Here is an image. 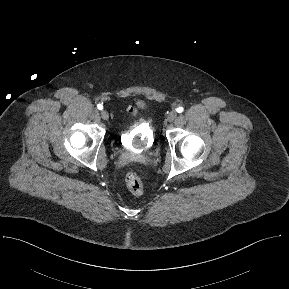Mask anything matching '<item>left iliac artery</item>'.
Here are the masks:
<instances>
[{"label":"left iliac artery","mask_w":289,"mask_h":289,"mask_svg":"<svg viewBox=\"0 0 289 289\" xmlns=\"http://www.w3.org/2000/svg\"><path fill=\"white\" fill-rule=\"evenodd\" d=\"M176 111H177L178 113H182V112L184 111V108H183V107H178V108L176 109Z\"/></svg>","instance_id":"1"}]
</instances>
